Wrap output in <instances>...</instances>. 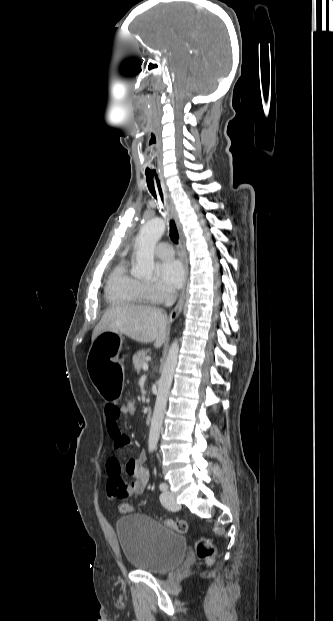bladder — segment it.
<instances>
[{"label": "bladder", "instance_id": "1", "mask_svg": "<svg viewBox=\"0 0 333 621\" xmlns=\"http://www.w3.org/2000/svg\"><path fill=\"white\" fill-rule=\"evenodd\" d=\"M116 533L121 551L134 570L162 574L175 568L186 555L185 537L147 515L119 518Z\"/></svg>", "mask_w": 333, "mask_h": 621}]
</instances>
